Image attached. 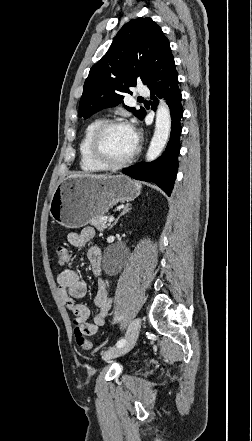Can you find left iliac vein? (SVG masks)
<instances>
[{
    "label": "left iliac vein",
    "instance_id": "obj_1",
    "mask_svg": "<svg viewBox=\"0 0 252 441\" xmlns=\"http://www.w3.org/2000/svg\"><path fill=\"white\" fill-rule=\"evenodd\" d=\"M141 328V319L135 318L130 323L125 335V343L118 348L110 349L102 354V359L107 361L128 353L135 345Z\"/></svg>",
    "mask_w": 252,
    "mask_h": 441
}]
</instances>
